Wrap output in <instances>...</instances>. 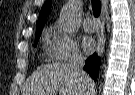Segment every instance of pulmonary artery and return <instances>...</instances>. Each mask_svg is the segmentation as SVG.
I'll return each mask as SVG.
<instances>
[{"instance_id": "pulmonary-artery-1", "label": "pulmonary artery", "mask_w": 135, "mask_h": 95, "mask_svg": "<svg viewBox=\"0 0 135 95\" xmlns=\"http://www.w3.org/2000/svg\"><path fill=\"white\" fill-rule=\"evenodd\" d=\"M83 28L87 32H94L96 30L95 22L92 18L87 17L83 22Z\"/></svg>"}]
</instances>
